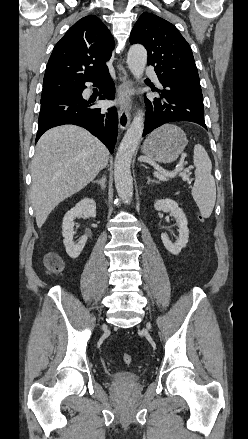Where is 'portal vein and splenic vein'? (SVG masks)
Listing matches in <instances>:
<instances>
[{
  "mask_svg": "<svg viewBox=\"0 0 248 439\" xmlns=\"http://www.w3.org/2000/svg\"><path fill=\"white\" fill-rule=\"evenodd\" d=\"M183 170V163H178L177 166L175 167V169L172 172H158L155 171L154 172V176L157 177L158 179L165 181L166 180V176H174L176 175L178 172ZM188 171V169H186L183 173H180V175L182 176L183 180H189L188 175L186 174V172Z\"/></svg>",
  "mask_w": 248,
  "mask_h": 439,
  "instance_id": "1",
  "label": "portal vein and splenic vein"
}]
</instances>
